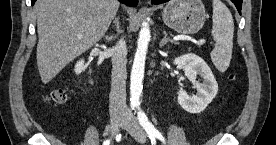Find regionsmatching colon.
Instances as JSON below:
<instances>
[{
  "label": "colon",
  "instance_id": "colon-1",
  "mask_svg": "<svg viewBox=\"0 0 276 145\" xmlns=\"http://www.w3.org/2000/svg\"><path fill=\"white\" fill-rule=\"evenodd\" d=\"M67 99V93L65 90L57 89L50 93L48 101L55 105L63 104Z\"/></svg>",
  "mask_w": 276,
  "mask_h": 145
}]
</instances>
